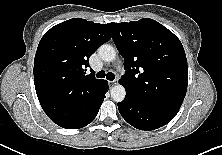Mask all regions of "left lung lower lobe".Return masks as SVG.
<instances>
[{"label": "left lung lower lobe", "mask_w": 222, "mask_h": 155, "mask_svg": "<svg viewBox=\"0 0 222 155\" xmlns=\"http://www.w3.org/2000/svg\"><path fill=\"white\" fill-rule=\"evenodd\" d=\"M117 105L121 116L130 125L145 131L166 125L178 112L148 103L130 95H126L125 99Z\"/></svg>", "instance_id": "0a47b994"}]
</instances>
